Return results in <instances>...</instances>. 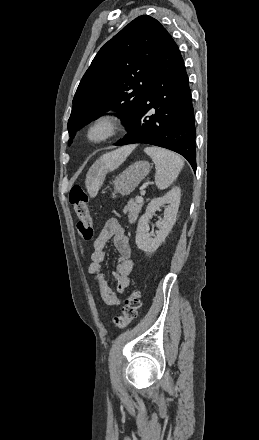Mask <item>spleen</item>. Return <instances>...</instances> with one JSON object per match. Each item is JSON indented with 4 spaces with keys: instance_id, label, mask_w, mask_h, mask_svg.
<instances>
[{
    "instance_id": "obj_1",
    "label": "spleen",
    "mask_w": 259,
    "mask_h": 440,
    "mask_svg": "<svg viewBox=\"0 0 259 440\" xmlns=\"http://www.w3.org/2000/svg\"><path fill=\"white\" fill-rule=\"evenodd\" d=\"M144 152L155 163V182L158 189L168 188L178 177L184 162L177 154L159 147H146Z\"/></svg>"
}]
</instances>
